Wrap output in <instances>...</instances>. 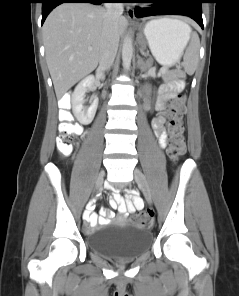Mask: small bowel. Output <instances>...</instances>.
<instances>
[{
  "label": "small bowel",
  "instance_id": "obj_1",
  "mask_svg": "<svg viewBox=\"0 0 239 296\" xmlns=\"http://www.w3.org/2000/svg\"><path fill=\"white\" fill-rule=\"evenodd\" d=\"M182 88L183 84L177 82L175 84H165L159 90V96L156 101V110L159 114L152 120V129L158 138L160 146L163 148L167 144L166 118L164 116L166 104L172 99H175L177 93ZM125 198L119 192H114L109 203L112 209H116L124 219H127L136 210L143 208L144 202L135 190L127 192ZM113 217L114 213L111 210H103L101 216H98L96 213H87L86 218L90 223L88 232L92 233L97 225L109 223Z\"/></svg>",
  "mask_w": 239,
  "mask_h": 296
}]
</instances>
